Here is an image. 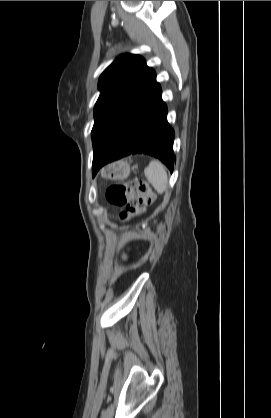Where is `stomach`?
<instances>
[{"mask_svg":"<svg viewBox=\"0 0 271 418\" xmlns=\"http://www.w3.org/2000/svg\"><path fill=\"white\" fill-rule=\"evenodd\" d=\"M130 174V164L120 160L106 166L101 171V176L109 180H125Z\"/></svg>","mask_w":271,"mask_h":418,"instance_id":"1","label":"stomach"}]
</instances>
